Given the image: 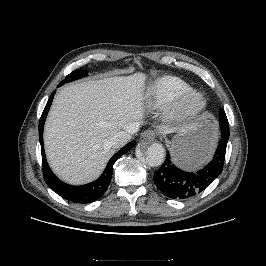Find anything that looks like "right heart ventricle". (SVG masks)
Returning a JSON list of instances; mask_svg holds the SVG:
<instances>
[{"label": "right heart ventricle", "instance_id": "right-heart-ventricle-1", "mask_svg": "<svg viewBox=\"0 0 266 266\" xmlns=\"http://www.w3.org/2000/svg\"><path fill=\"white\" fill-rule=\"evenodd\" d=\"M190 88V85L179 77L171 75L157 77L149 86L146 107L150 110H160Z\"/></svg>", "mask_w": 266, "mask_h": 266}]
</instances>
